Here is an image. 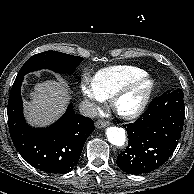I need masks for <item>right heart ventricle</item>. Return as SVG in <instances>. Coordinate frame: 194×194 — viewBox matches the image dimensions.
<instances>
[{"instance_id":"right-heart-ventricle-1","label":"right heart ventricle","mask_w":194,"mask_h":194,"mask_svg":"<svg viewBox=\"0 0 194 194\" xmlns=\"http://www.w3.org/2000/svg\"><path fill=\"white\" fill-rule=\"evenodd\" d=\"M145 73L143 69L136 66H111L97 71L92 82L100 97L105 100L110 99L122 85Z\"/></svg>"}]
</instances>
